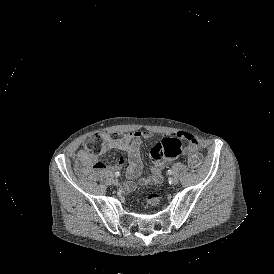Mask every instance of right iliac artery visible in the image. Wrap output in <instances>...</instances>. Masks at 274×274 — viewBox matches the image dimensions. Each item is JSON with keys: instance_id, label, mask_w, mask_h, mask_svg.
Masks as SVG:
<instances>
[{"instance_id": "right-iliac-artery-1", "label": "right iliac artery", "mask_w": 274, "mask_h": 274, "mask_svg": "<svg viewBox=\"0 0 274 274\" xmlns=\"http://www.w3.org/2000/svg\"><path fill=\"white\" fill-rule=\"evenodd\" d=\"M115 176L116 177L120 176V173L119 172H115Z\"/></svg>"}]
</instances>
